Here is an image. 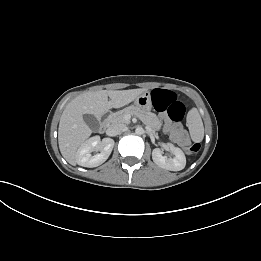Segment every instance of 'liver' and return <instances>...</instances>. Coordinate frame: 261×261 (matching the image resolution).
I'll use <instances>...</instances> for the list:
<instances>
[{
    "label": "liver",
    "mask_w": 261,
    "mask_h": 261,
    "mask_svg": "<svg viewBox=\"0 0 261 261\" xmlns=\"http://www.w3.org/2000/svg\"><path fill=\"white\" fill-rule=\"evenodd\" d=\"M146 91V89L99 90L83 93L69 102L61 115L58 128L59 149L67 162L71 165L77 164V149L92 134L83 115L101 117L111 108L128 105Z\"/></svg>",
    "instance_id": "obj_1"
}]
</instances>
